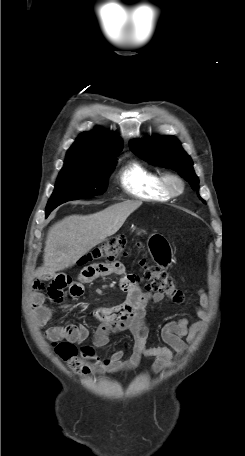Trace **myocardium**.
Listing matches in <instances>:
<instances>
[{
    "label": "myocardium",
    "mask_w": 245,
    "mask_h": 456,
    "mask_svg": "<svg viewBox=\"0 0 245 456\" xmlns=\"http://www.w3.org/2000/svg\"><path fill=\"white\" fill-rule=\"evenodd\" d=\"M161 186L170 196L180 195L185 187L183 179L174 173H166L161 176Z\"/></svg>",
    "instance_id": "1"
}]
</instances>
